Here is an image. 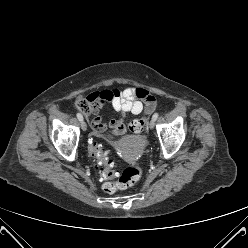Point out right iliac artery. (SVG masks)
I'll return each mask as SVG.
<instances>
[{"mask_svg": "<svg viewBox=\"0 0 248 248\" xmlns=\"http://www.w3.org/2000/svg\"><path fill=\"white\" fill-rule=\"evenodd\" d=\"M77 118L79 119V121H82L83 120V116L80 114V113H77Z\"/></svg>", "mask_w": 248, "mask_h": 248, "instance_id": "obj_1", "label": "right iliac artery"}]
</instances>
